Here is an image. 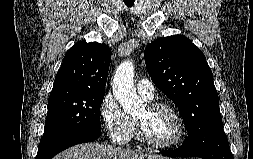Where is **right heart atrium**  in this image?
Instances as JSON below:
<instances>
[{
  "label": "right heart atrium",
  "mask_w": 253,
  "mask_h": 159,
  "mask_svg": "<svg viewBox=\"0 0 253 159\" xmlns=\"http://www.w3.org/2000/svg\"><path fill=\"white\" fill-rule=\"evenodd\" d=\"M99 116L110 141L118 145H125L130 141L132 120L112 94L103 97L99 106Z\"/></svg>",
  "instance_id": "right-heart-atrium-1"
}]
</instances>
